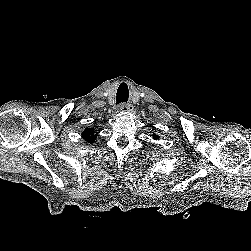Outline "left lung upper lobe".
Instances as JSON below:
<instances>
[{
    "label": "left lung upper lobe",
    "mask_w": 251,
    "mask_h": 251,
    "mask_svg": "<svg viewBox=\"0 0 251 251\" xmlns=\"http://www.w3.org/2000/svg\"><path fill=\"white\" fill-rule=\"evenodd\" d=\"M153 138H154V139H157V138H158V136H157V135H153Z\"/></svg>",
    "instance_id": "left-lung-upper-lobe-1"
}]
</instances>
